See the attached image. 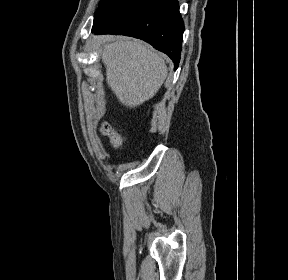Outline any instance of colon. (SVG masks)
Returning <instances> with one entry per match:
<instances>
[{
    "mask_svg": "<svg viewBox=\"0 0 288 280\" xmlns=\"http://www.w3.org/2000/svg\"><path fill=\"white\" fill-rule=\"evenodd\" d=\"M101 132L109 139L110 143L116 150L119 151L123 148L126 141L125 138L121 136L111 125L104 123L101 126Z\"/></svg>",
    "mask_w": 288,
    "mask_h": 280,
    "instance_id": "obj_1",
    "label": "colon"
}]
</instances>
